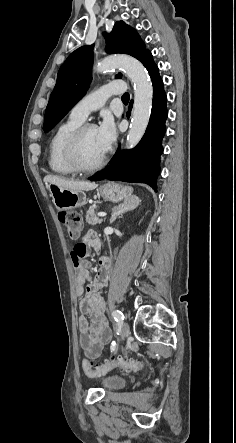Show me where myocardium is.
I'll return each instance as SVG.
<instances>
[{"label": "myocardium", "instance_id": "myocardium-1", "mask_svg": "<svg viewBox=\"0 0 236 443\" xmlns=\"http://www.w3.org/2000/svg\"><path fill=\"white\" fill-rule=\"evenodd\" d=\"M90 128H96L92 123H82L68 138L64 147V156L67 164L78 173H93L99 170L106 162L107 152H105L96 163L85 166L81 163L78 155L79 145L85 132Z\"/></svg>", "mask_w": 236, "mask_h": 443}]
</instances>
